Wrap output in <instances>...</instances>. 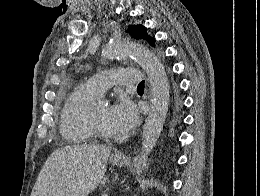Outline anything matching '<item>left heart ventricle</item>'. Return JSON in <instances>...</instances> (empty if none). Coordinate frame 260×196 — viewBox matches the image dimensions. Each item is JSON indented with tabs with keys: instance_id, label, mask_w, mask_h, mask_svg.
<instances>
[{
	"instance_id": "1",
	"label": "left heart ventricle",
	"mask_w": 260,
	"mask_h": 196,
	"mask_svg": "<svg viewBox=\"0 0 260 196\" xmlns=\"http://www.w3.org/2000/svg\"><path fill=\"white\" fill-rule=\"evenodd\" d=\"M109 109L108 104L97 103L95 110V117L97 123L109 133L114 132L109 119Z\"/></svg>"
}]
</instances>
